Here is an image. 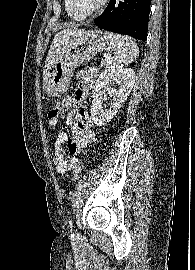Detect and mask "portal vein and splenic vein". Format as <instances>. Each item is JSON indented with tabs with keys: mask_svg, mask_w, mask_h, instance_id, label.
<instances>
[{
	"mask_svg": "<svg viewBox=\"0 0 195 270\" xmlns=\"http://www.w3.org/2000/svg\"><path fill=\"white\" fill-rule=\"evenodd\" d=\"M104 57L107 58V59H110L111 55L110 54H105Z\"/></svg>",
	"mask_w": 195,
	"mask_h": 270,
	"instance_id": "portal-vein-and-splenic-vein-1",
	"label": "portal vein and splenic vein"
}]
</instances>
